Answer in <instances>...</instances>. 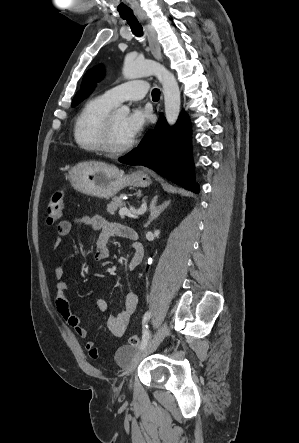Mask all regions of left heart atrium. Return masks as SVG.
Returning a JSON list of instances; mask_svg holds the SVG:
<instances>
[{
  "label": "left heart atrium",
  "instance_id": "obj_1",
  "mask_svg": "<svg viewBox=\"0 0 299 443\" xmlns=\"http://www.w3.org/2000/svg\"><path fill=\"white\" fill-rule=\"evenodd\" d=\"M148 113L140 108L132 110L124 120L126 133L134 139L144 129L147 124Z\"/></svg>",
  "mask_w": 299,
  "mask_h": 443
}]
</instances>
